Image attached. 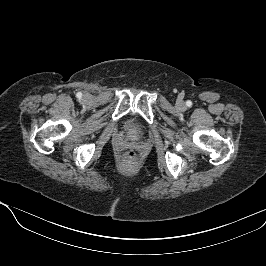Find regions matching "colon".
<instances>
[{"mask_svg":"<svg viewBox=\"0 0 266 266\" xmlns=\"http://www.w3.org/2000/svg\"><path fill=\"white\" fill-rule=\"evenodd\" d=\"M126 159L129 161V162H135L137 160V154L136 152L134 151H129L127 154H126Z\"/></svg>","mask_w":266,"mask_h":266,"instance_id":"5ec220e1","label":"colon"}]
</instances>
